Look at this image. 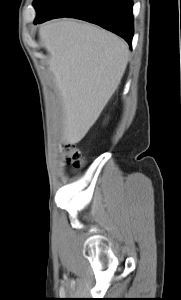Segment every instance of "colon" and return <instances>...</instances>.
I'll return each instance as SVG.
<instances>
[{
    "label": "colon",
    "instance_id": "obj_1",
    "mask_svg": "<svg viewBox=\"0 0 181 300\" xmlns=\"http://www.w3.org/2000/svg\"><path fill=\"white\" fill-rule=\"evenodd\" d=\"M65 153L67 156V161L72 168L80 169L81 167H83L85 163V159L82 153L80 152V150H78L76 147L72 145H66Z\"/></svg>",
    "mask_w": 181,
    "mask_h": 300
}]
</instances>
